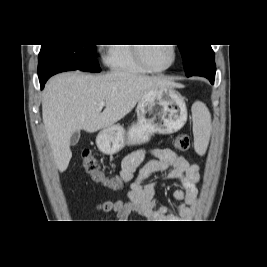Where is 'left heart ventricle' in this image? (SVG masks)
Instances as JSON below:
<instances>
[{"label":"left heart ventricle","mask_w":267,"mask_h":267,"mask_svg":"<svg viewBox=\"0 0 267 267\" xmlns=\"http://www.w3.org/2000/svg\"><path fill=\"white\" fill-rule=\"evenodd\" d=\"M144 56L151 66L163 68L171 63L173 52L169 44L151 45L144 47Z\"/></svg>","instance_id":"obj_1"}]
</instances>
